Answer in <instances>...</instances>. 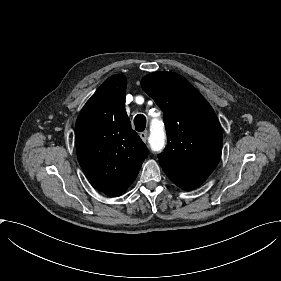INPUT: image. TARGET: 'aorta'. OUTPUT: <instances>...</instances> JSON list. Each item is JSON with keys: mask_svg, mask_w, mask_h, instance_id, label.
I'll return each mask as SVG.
<instances>
[{"mask_svg": "<svg viewBox=\"0 0 281 281\" xmlns=\"http://www.w3.org/2000/svg\"><path fill=\"white\" fill-rule=\"evenodd\" d=\"M165 131L164 125L159 120H153L150 127L149 143L151 149L154 151H160L165 146Z\"/></svg>", "mask_w": 281, "mask_h": 281, "instance_id": "1", "label": "aorta"}]
</instances>
